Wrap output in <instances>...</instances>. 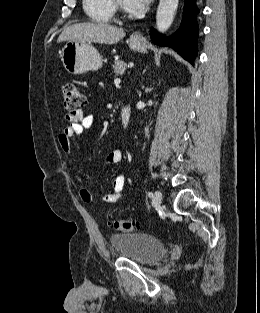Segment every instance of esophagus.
<instances>
[{"instance_id": "1", "label": "esophagus", "mask_w": 260, "mask_h": 313, "mask_svg": "<svg viewBox=\"0 0 260 313\" xmlns=\"http://www.w3.org/2000/svg\"><path fill=\"white\" fill-rule=\"evenodd\" d=\"M133 37H134L135 39H143V35H142L141 32H135V33L133 34Z\"/></svg>"}]
</instances>
